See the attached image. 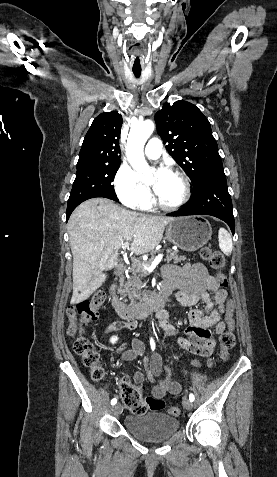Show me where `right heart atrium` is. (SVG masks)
Masks as SVG:
<instances>
[{
  "mask_svg": "<svg viewBox=\"0 0 277 477\" xmlns=\"http://www.w3.org/2000/svg\"><path fill=\"white\" fill-rule=\"evenodd\" d=\"M115 192L119 200L127 207L145 210L150 207L152 195L136 173L126 165H121L114 177Z\"/></svg>",
  "mask_w": 277,
  "mask_h": 477,
  "instance_id": "d8ad5b80",
  "label": "right heart atrium"
}]
</instances>
